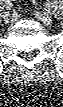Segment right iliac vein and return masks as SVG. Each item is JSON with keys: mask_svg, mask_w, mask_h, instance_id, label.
I'll list each match as a JSON object with an SVG mask.
<instances>
[{"mask_svg": "<svg viewBox=\"0 0 63 107\" xmlns=\"http://www.w3.org/2000/svg\"><path fill=\"white\" fill-rule=\"evenodd\" d=\"M12 21H13L12 16H11L9 13H6V14L4 15V22H5V24H9V23H11Z\"/></svg>", "mask_w": 63, "mask_h": 107, "instance_id": "1", "label": "right iliac vein"}]
</instances>
